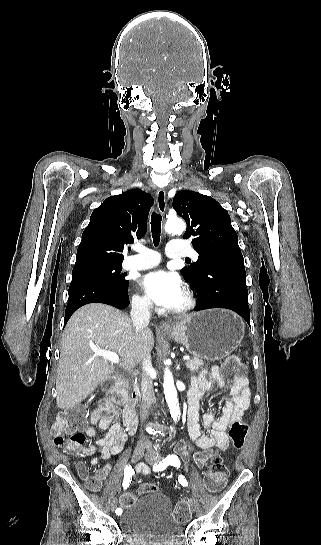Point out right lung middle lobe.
Masks as SVG:
<instances>
[{"label": "right lung middle lobe", "mask_w": 321, "mask_h": 545, "mask_svg": "<svg viewBox=\"0 0 321 545\" xmlns=\"http://www.w3.org/2000/svg\"><path fill=\"white\" fill-rule=\"evenodd\" d=\"M122 264L115 265H92L84 268L73 269L72 277L92 276L110 281L119 285L127 284L126 273H121Z\"/></svg>", "instance_id": "obj_1"}]
</instances>
